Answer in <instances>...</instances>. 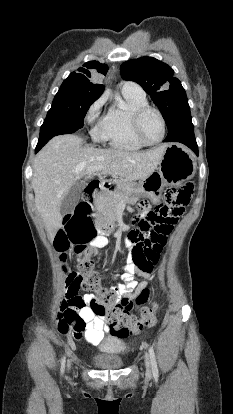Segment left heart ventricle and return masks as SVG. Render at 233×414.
<instances>
[{
    "label": "left heart ventricle",
    "instance_id": "obj_1",
    "mask_svg": "<svg viewBox=\"0 0 233 414\" xmlns=\"http://www.w3.org/2000/svg\"><path fill=\"white\" fill-rule=\"evenodd\" d=\"M141 129L149 141H157L162 135L161 119L155 112H148L142 119Z\"/></svg>",
    "mask_w": 233,
    "mask_h": 414
}]
</instances>
